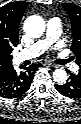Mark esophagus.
<instances>
[{"mask_svg":"<svg viewBox=\"0 0 81 124\" xmlns=\"http://www.w3.org/2000/svg\"><path fill=\"white\" fill-rule=\"evenodd\" d=\"M45 65L49 67H58L56 64H53L51 62H46Z\"/></svg>","mask_w":81,"mask_h":124,"instance_id":"obj_1","label":"esophagus"}]
</instances>
